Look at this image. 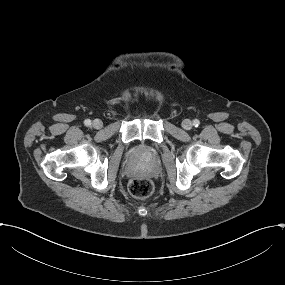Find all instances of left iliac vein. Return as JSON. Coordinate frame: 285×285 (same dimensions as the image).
<instances>
[{
  "mask_svg": "<svg viewBox=\"0 0 285 285\" xmlns=\"http://www.w3.org/2000/svg\"><path fill=\"white\" fill-rule=\"evenodd\" d=\"M193 124L191 122V120L189 119H185L182 121V127L186 130H190L192 128Z\"/></svg>",
  "mask_w": 285,
  "mask_h": 285,
  "instance_id": "1",
  "label": "left iliac vein"
}]
</instances>
